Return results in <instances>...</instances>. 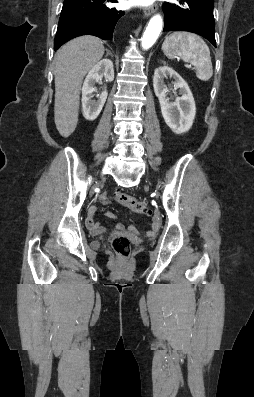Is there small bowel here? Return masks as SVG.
<instances>
[{"label": "small bowel", "instance_id": "obj_1", "mask_svg": "<svg viewBox=\"0 0 254 397\" xmlns=\"http://www.w3.org/2000/svg\"><path fill=\"white\" fill-rule=\"evenodd\" d=\"M102 203L107 204L109 202L107 195H102L100 197ZM96 207H91L88 212V216L86 218V226L87 228L94 234H100L105 232V228L94 219V213L96 212ZM106 216L109 218H116V216L112 212H106ZM122 225H117V230H122ZM159 228V224L157 222L153 223L152 229L148 231L149 236H154Z\"/></svg>", "mask_w": 254, "mask_h": 397}]
</instances>
